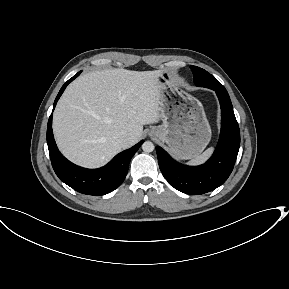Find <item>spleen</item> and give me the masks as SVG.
Segmentation results:
<instances>
[{
  "label": "spleen",
  "instance_id": "obj_1",
  "mask_svg": "<svg viewBox=\"0 0 289 289\" xmlns=\"http://www.w3.org/2000/svg\"><path fill=\"white\" fill-rule=\"evenodd\" d=\"M213 148L207 149L203 154L197 156L196 158L192 159L191 161L188 162L190 165H200L204 163L212 154Z\"/></svg>",
  "mask_w": 289,
  "mask_h": 289
}]
</instances>
